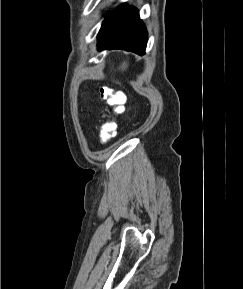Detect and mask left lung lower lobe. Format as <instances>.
Returning <instances> with one entry per match:
<instances>
[{"label":"left lung lower lobe","instance_id":"obj_1","mask_svg":"<svg viewBox=\"0 0 243 289\" xmlns=\"http://www.w3.org/2000/svg\"><path fill=\"white\" fill-rule=\"evenodd\" d=\"M147 31L138 11L126 5L119 6L102 23L98 34V50L124 49L145 54Z\"/></svg>","mask_w":243,"mask_h":289}]
</instances>
